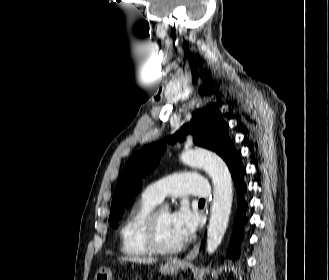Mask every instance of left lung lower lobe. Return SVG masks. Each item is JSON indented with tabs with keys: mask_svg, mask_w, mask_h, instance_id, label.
<instances>
[{
	"mask_svg": "<svg viewBox=\"0 0 329 280\" xmlns=\"http://www.w3.org/2000/svg\"><path fill=\"white\" fill-rule=\"evenodd\" d=\"M232 178L235 182L236 189H237V196H238V208L237 214L234 220V228L232 232L231 242L228 250V257L237 259L239 256V245L242 240V229L244 224L247 222L245 216V210L247 204L244 200L243 194L246 190V185L243 181V176L245 174V168L243 167L241 161L230 168Z\"/></svg>",
	"mask_w": 329,
	"mask_h": 280,
	"instance_id": "left-lung-lower-lobe-1",
	"label": "left lung lower lobe"
}]
</instances>
